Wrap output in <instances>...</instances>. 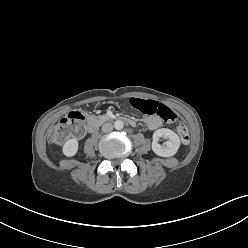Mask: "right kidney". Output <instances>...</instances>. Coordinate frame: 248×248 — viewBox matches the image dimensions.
<instances>
[{
    "mask_svg": "<svg viewBox=\"0 0 248 248\" xmlns=\"http://www.w3.org/2000/svg\"><path fill=\"white\" fill-rule=\"evenodd\" d=\"M63 154L67 157H73L78 151V140L75 138L69 139L63 145Z\"/></svg>",
    "mask_w": 248,
    "mask_h": 248,
    "instance_id": "ca27d5eb",
    "label": "right kidney"
}]
</instances>
